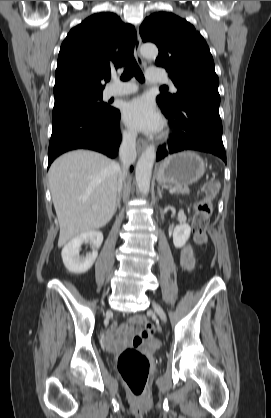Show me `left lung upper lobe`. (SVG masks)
<instances>
[{
    "instance_id": "1",
    "label": "left lung upper lobe",
    "mask_w": 271,
    "mask_h": 418,
    "mask_svg": "<svg viewBox=\"0 0 271 418\" xmlns=\"http://www.w3.org/2000/svg\"><path fill=\"white\" fill-rule=\"evenodd\" d=\"M143 42L159 48L156 65L164 67L177 87L176 94H161L158 104L175 111L185 100L219 106V79L209 47L201 34L185 19L173 13L157 12L140 27Z\"/></svg>"
}]
</instances>
